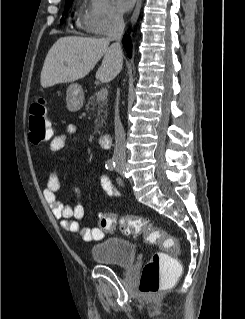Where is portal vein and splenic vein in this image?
<instances>
[{
  "mask_svg": "<svg viewBox=\"0 0 245 319\" xmlns=\"http://www.w3.org/2000/svg\"><path fill=\"white\" fill-rule=\"evenodd\" d=\"M107 96H108V89H107V88H102V89H100V91L98 92L97 98H98L99 100H104V99L107 98Z\"/></svg>",
  "mask_w": 245,
  "mask_h": 319,
  "instance_id": "1",
  "label": "portal vein and splenic vein"
}]
</instances>
